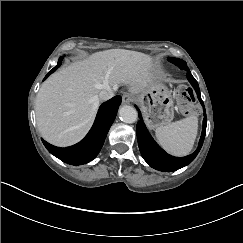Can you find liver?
Returning a JSON list of instances; mask_svg holds the SVG:
<instances>
[{
  "instance_id": "6515ba94",
  "label": "liver",
  "mask_w": 243,
  "mask_h": 243,
  "mask_svg": "<svg viewBox=\"0 0 243 243\" xmlns=\"http://www.w3.org/2000/svg\"><path fill=\"white\" fill-rule=\"evenodd\" d=\"M153 71L150 55L124 49L96 52L61 68L42 84L36 97L41 135L59 147L79 142L93 124L101 90L125 84L132 94L145 92L156 80Z\"/></svg>"
}]
</instances>
